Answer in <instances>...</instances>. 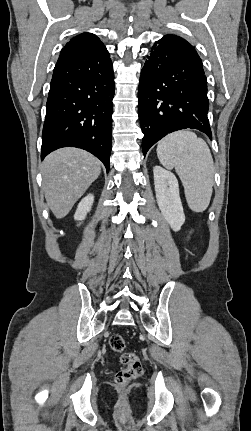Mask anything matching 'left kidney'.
I'll return each instance as SVG.
<instances>
[{
  "instance_id": "5707ae66",
  "label": "left kidney",
  "mask_w": 251,
  "mask_h": 431,
  "mask_svg": "<svg viewBox=\"0 0 251 431\" xmlns=\"http://www.w3.org/2000/svg\"><path fill=\"white\" fill-rule=\"evenodd\" d=\"M153 173L159 209L170 227L177 232L185 222L178 180L173 173L158 165L153 168Z\"/></svg>"
}]
</instances>
